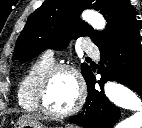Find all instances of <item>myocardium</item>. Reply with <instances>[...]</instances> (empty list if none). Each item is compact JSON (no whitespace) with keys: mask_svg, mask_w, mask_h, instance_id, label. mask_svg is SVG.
<instances>
[{"mask_svg":"<svg viewBox=\"0 0 142 128\" xmlns=\"http://www.w3.org/2000/svg\"><path fill=\"white\" fill-rule=\"evenodd\" d=\"M62 71L68 72L73 76L77 86V97L74 104L68 110L56 112L47 107L45 97L52 77ZM85 96V84L80 72L76 69V67L66 63L53 64L49 67L41 76L36 89V101L39 110L53 118H65L76 113L82 107L85 101Z\"/></svg>","mask_w":142,"mask_h":128,"instance_id":"obj_1","label":"myocardium"}]
</instances>
